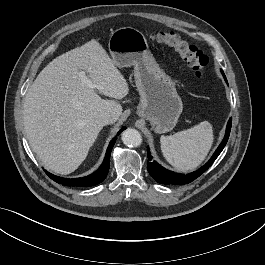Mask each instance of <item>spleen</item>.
I'll return each instance as SVG.
<instances>
[{"mask_svg": "<svg viewBox=\"0 0 265 265\" xmlns=\"http://www.w3.org/2000/svg\"><path fill=\"white\" fill-rule=\"evenodd\" d=\"M212 125L203 121L171 136H161V150L166 160L180 171L194 170L206 158L213 144Z\"/></svg>", "mask_w": 265, "mask_h": 265, "instance_id": "3e777b00", "label": "spleen"}]
</instances>
